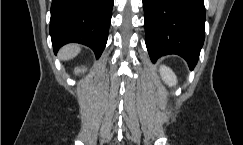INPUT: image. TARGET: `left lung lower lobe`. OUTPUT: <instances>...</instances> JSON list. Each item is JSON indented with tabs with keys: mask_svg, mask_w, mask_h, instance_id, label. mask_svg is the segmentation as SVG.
I'll use <instances>...</instances> for the list:
<instances>
[{
	"mask_svg": "<svg viewBox=\"0 0 243 145\" xmlns=\"http://www.w3.org/2000/svg\"><path fill=\"white\" fill-rule=\"evenodd\" d=\"M143 7L151 60L177 54L193 69L205 38L204 0H143Z\"/></svg>",
	"mask_w": 243,
	"mask_h": 145,
	"instance_id": "0a47b994",
	"label": "left lung lower lobe"
}]
</instances>
